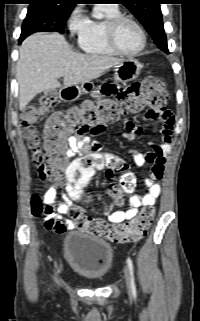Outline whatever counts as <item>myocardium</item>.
Segmentation results:
<instances>
[{"instance_id":"obj_1","label":"myocardium","mask_w":200,"mask_h":321,"mask_svg":"<svg viewBox=\"0 0 200 321\" xmlns=\"http://www.w3.org/2000/svg\"><path fill=\"white\" fill-rule=\"evenodd\" d=\"M124 21H129L132 24H134L136 26V28L138 29L140 35H141V39H142V43L139 49H137L136 51L133 52H127L125 50H123L117 43V30L118 27L120 26V24ZM106 39L107 42L109 44V46L112 48V50H114L117 54L123 55V56H129V57H133V56H137L139 55L146 47V42H147V37H146V33L142 27V25L133 17L126 15V14H120L117 15L113 18H111L106 25Z\"/></svg>"}]
</instances>
